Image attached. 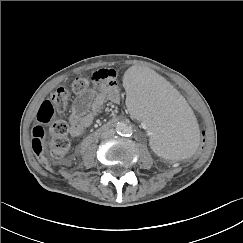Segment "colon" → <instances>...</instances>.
Here are the masks:
<instances>
[{
	"label": "colon",
	"instance_id": "obj_1",
	"mask_svg": "<svg viewBox=\"0 0 243 243\" xmlns=\"http://www.w3.org/2000/svg\"><path fill=\"white\" fill-rule=\"evenodd\" d=\"M95 74V72H94ZM113 79V74L108 69H101L92 76V80L97 83H110ZM89 81L83 77H77L72 82V90L76 93H83L88 89ZM71 99L70 91L66 88L57 89L50 97L44 101L38 111L37 119L41 123H50L56 110H62L67 107ZM52 137L49 142L51 154L54 157H62L70 148V141L67 137L68 125L64 121H55L51 124ZM210 130L204 127L200 130L199 145L195 152L190 156L181 157L178 160L179 165H190L192 162L199 160L207 150L209 145ZM32 149L40 163L47 169L51 167L46 156V133L42 125H37L32 130L31 139Z\"/></svg>",
	"mask_w": 243,
	"mask_h": 243
}]
</instances>
